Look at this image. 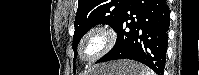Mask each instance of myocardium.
<instances>
[{"label":"myocardium","instance_id":"1","mask_svg":"<svg viewBox=\"0 0 199 75\" xmlns=\"http://www.w3.org/2000/svg\"><path fill=\"white\" fill-rule=\"evenodd\" d=\"M99 38L101 40V47L99 51L90 58H84L82 54L83 45L91 38ZM117 34L115 29L108 24H98L90 28L81 38L78 44V57L82 62L94 63L109 53L116 45Z\"/></svg>","mask_w":199,"mask_h":75}]
</instances>
